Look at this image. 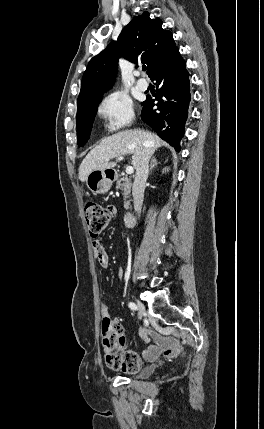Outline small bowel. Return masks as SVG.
<instances>
[{
	"label": "small bowel",
	"mask_w": 264,
	"mask_h": 429,
	"mask_svg": "<svg viewBox=\"0 0 264 429\" xmlns=\"http://www.w3.org/2000/svg\"><path fill=\"white\" fill-rule=\"evenodd\" d=\"M94 255L99 261L100 265L107 267L109 265V255L103 245L95 240L92 243ZM122 270L119 271V277H122ZM102 313H107L106 305L102 306ZM142 339L147 343V347L143 350L142 355L146 360H156L162 353H165L167 356H171L179 352L180 345L177 339L173 337H163L160 334L156 333L153 330L143 329L140 333ZM132 352H125L122 354V358ZM119 370L125 371V366L121 364Z\"/></svg>",
	"instance_id": "c3829d8e"
}]
</instances>
